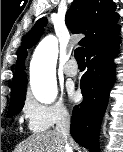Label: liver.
<instances>
[{
    "label": "liver",
    "instance_id": "6515ba94",
    "mask_svg": "<svg viewBox=\"0 0 123 152\" xmlns=\"http://www.w3.org/2000/svg\"><path fill=\"white\" fill-rule=\"evenodd\" d=\"M75 143L71 140V147ZM65 143L62 137L55 131L50 130L36 133L22 141L14 152H65Z\"/></svg>",
    "mask_w": 123,
    "mask_h": 152
}]
</instances>
